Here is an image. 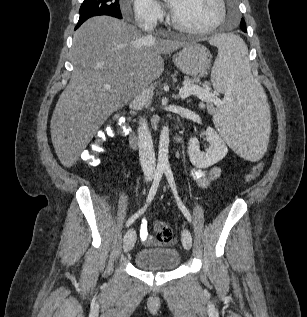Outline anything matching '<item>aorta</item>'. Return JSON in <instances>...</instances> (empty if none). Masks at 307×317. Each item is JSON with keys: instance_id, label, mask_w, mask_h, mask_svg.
<instances>
[{"instance_id": "obj_1", "label": "aorta", "mask_w": 307, "mask_h": 317, "mask_svg": "<svg viewBox=\"0 0 307 317\" xmlns=\"http://www.w3.org/2000/svg\"><path fill=\"white\" fill-rule=\"evenodd\" d=\"M169 128L168 126H163L158 146V165L160 167L169 166Z\"/></svg>"}]
</instances>
